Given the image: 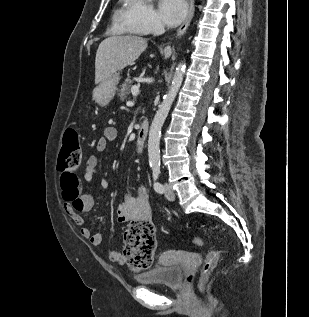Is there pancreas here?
<instances>
[{
	"label": "pancreas",
	"mask_w": 309,
	"mask_h": 317,
	"mask_svg": "<svg viewBox=\"0 0 309 317\" xmlns=\"http://www.w3.org/2000/svg\"><path fill=\"white\" fill-rule=\"evenodd\" d=\"M133 81L126 79V81L121 85V89L118 92V97L121 101H124L127 98V95L130 94V89L132 87Z\"/></svg>",
	"instance_id": "1"
}]
</instances>
